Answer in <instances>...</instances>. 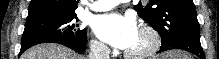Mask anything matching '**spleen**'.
<instances>
[{"label":"spleen","mask_w":219,"mask_h":59,"mask_svg":"<svg viewBox=\"0 0 219 59\" xmlns=\"http://www.w3.org/2000/svg\"><path fill=\"white\" fill-rule=\"evenodd\" d=\"M172 59H190L187 55L179 52H173L171 53Z\"/></svg>","instance_id":"3e777b00"}]
</instances>
